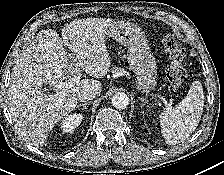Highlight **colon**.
Segmentation results:
<instances>
[{"label": "colon", "mask_w": 224, "mask_h": 175, "mask_svg": "<svg viewBox=\"0 0 224 175\" xmlns=\"http://www.w3.org/2000/svg\"><path fill=\"white\" fill-rule=\"evenodd\" d=\"M164 47L169 55L170 65L166 71V78L172 90L179 88L186 78V71L183 67L185 50L173 36H166Z\"/></svg>", "instance_id": "1"}]
</instances>
